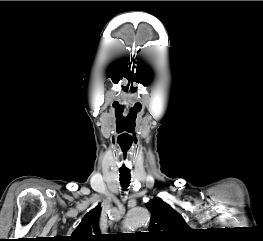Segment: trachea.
<instances>
[{"label":"trachea","instance_id":"3493384b","mask_svg":"<svg viewBox=\"0 0 263 241\" xmlns=\"http://www.w3.org/2000/svg\"><path fill=\"white\" fill-rule=\"evenodd\" d=\"M119 176H120L119 180H120L121 187L123 191H126L131 181L130 170L120 169Z\"/></svg>","mask_w":263,"mask_h":241}]
</instances>
